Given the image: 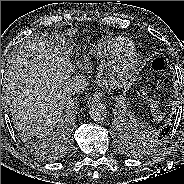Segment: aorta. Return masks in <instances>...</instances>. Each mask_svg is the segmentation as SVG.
I'll return each mask as SVG.
<instances>
[{
  "mask_svg": "<svg viewBox=\"0 0 184 184\" xmlns=\"http://www.w3.org/2000/svg\"><path fill=\"white\" fill-rule=\"evenodd\" d=\"M90 118L94 121H103L107 116V108L104 104L96 102L89 107Z\"/></svg>",
  "mask_w": 184,
  "mask_h": 184,
  "instance_id": "762f6f07",
  "label": "aorta"
}]
</instances>
